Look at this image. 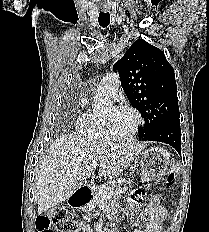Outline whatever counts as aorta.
<instances>
[{
    "label": "aorta",
    "mask_w": 209,
    "mask_h": 232,
    "mask_svg": "<svg viewBox=\"0 0 209 232\" xmlns=\"http://www.w3.org/2000/svg\"><path fill=\"white\" fill-rule=\"evenodd\" d=\"M108 105H109V101H107L106 99L96 100L93 104V106L97 109L107 107Z\"/></svg>",
    "instance_id": "obj_1"
}]
</instances>
